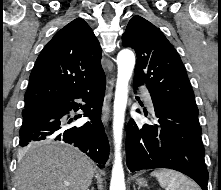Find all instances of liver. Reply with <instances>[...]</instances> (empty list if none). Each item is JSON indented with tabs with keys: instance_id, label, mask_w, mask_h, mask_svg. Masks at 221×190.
I'll return each mask as SVG.
<instances>
[{
	"instance_id": "1",
	"label": "liver",
	"mask_w": 221,
	"mask_h": 190,
	"mask_svg": "<svg viewBox=\"0 0 221 190\" xmlns=\"http://www.w3.org/2000/svg\"><path fill=\"white\" fill-rule=\"evenodd\" d=\"M93 175L91 159L79 149L68 144L45 141L21 151L16 171V188L89 190Z\"/></svg>"
}]
</instances>
